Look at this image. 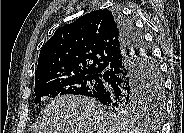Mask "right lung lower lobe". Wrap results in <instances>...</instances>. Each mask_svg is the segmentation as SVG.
<instances>
[{"label": "right lung lower lobe", "instance_id": "98d812e1", "mask_svg": "<svg viewBox=\"0 0 184 133\" xmlns=\"http://www.w3.org/2000/svg\"><path fill=\"white\" fill-rule=\"evenodd\" d=\"M121 28V49L102 73L108 83L101 94L93 97L106 106L122 100H142L149 85V61L145 41L133 23L123 15L115 13Z\"/></svg>", "mask_w": 184, "mask_h": 133}]
</instances>
